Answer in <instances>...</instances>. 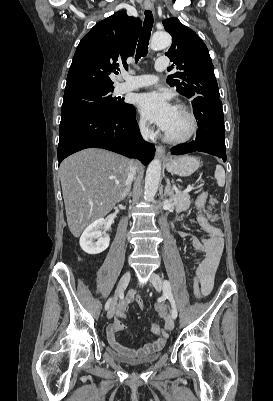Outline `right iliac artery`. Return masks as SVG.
Segmentation results:
<instances>
[{"instance_id":"82829eb1","label":"right iliac artery","mask_w":273,"mask_h":401,"mask_svg":"<svg viewBox=\"0 0 273 401\" xmlns=\"http://www.w3.org/2000/svg\"><path fill=\"white\" fill-rule=\"evenodd\" d=\"M111 301H112V299L110 298V299L106 302V304H105V309H106V310L109 308V306H110V304H111Z\"/></svg>"}]
</instances>
